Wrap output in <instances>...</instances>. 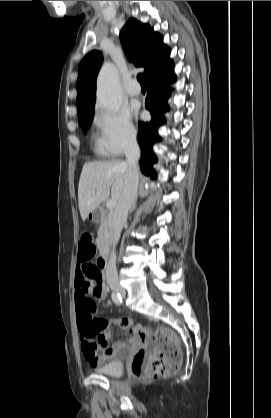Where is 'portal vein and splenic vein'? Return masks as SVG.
Instances as JSON below:
<instances>
[{
	"mask_svg": "<svg viewBox=\"0 0 271 418\" xmlns=\"http://www.w3.org/2000/svg\"><path fill=\"white\" fill-rule=\"evenodd\" d=\"M116 204H117V201L111 199L106 203V207L107 209H113L116 206Z\"/></svg>",
	"mask_w": 271,
	"mask_h": 418,
	"instance_id": "portal-vein-and-splenic-vein-1",
	"label": "portal vein and splenic vein"
}]
</instances>
